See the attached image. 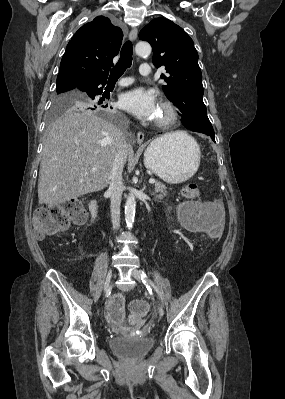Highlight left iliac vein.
<instances>
[{"instance_id":"4c4485c4","label":"left iliac vein","mask_w":285,"mask_h":399,"mask_svg":"<svg viewBox=\"0 0 285 399\" xmlns=\"http://www.w3.org/2000/svg\"><path fill=\"white\" fill-rule=\"evenodd\" d=\"M131 275L136 279V280H138V281H141V276H140V273H139V271L137 270V269H132L131 270ZM158 314L160 315V316H163L164 315V309H163V307L162 306H159L158 307Z\"/></svg>"}]
</instances>
